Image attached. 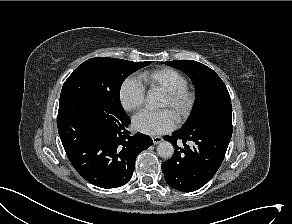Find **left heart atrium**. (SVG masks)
Wrapping results in <instances>:
<instances>
[{
	"label": "left heart atrium",
	"instance_id": "39dd6f15",
	"mask_svg": "<svg viewBox=\"0 0 292 224\" xmlns=\"http://www.w3.org/2000/svg\"><path fill=\"white\" fill-rule=\"evenodd\" d=\"M175 125L176 118L167 109L156 112L144 110L133 117L134 129L149 135L169 132L174 129Z\"/></svg>",
	"mask_w": 292,
	"mask_h": 224
}]
</instances>
